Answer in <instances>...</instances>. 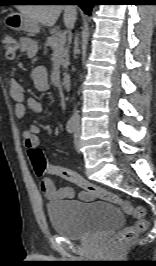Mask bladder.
Listing matches in <instances>:
<instances>
[{"label":"bladder","mask_w":156,"mask_h":266,"mask_svg":"<svg viewBox=\"0 0 156 266\" xmlns=\"http://www.w3.org/2000/svg\"><path fill=\"white\" fill-rule=\"evenodd\" d=\"M47 213L53 230L69 240H80L119 226L121 210L112 203L85 204L75 200L50 202Z\"/></svg>","instance_id":"obj_1"}]
</instances>
